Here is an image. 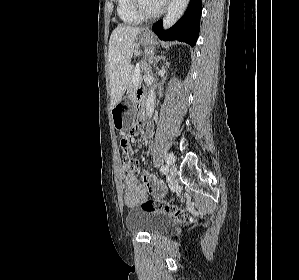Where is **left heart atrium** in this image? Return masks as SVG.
<instances>
[{"mask_svg": "<svg viewBox=\"0 0 299 280\" xmlns=\"http://www.w3.org/2000/svg\"><path fill=\"white\" fill-rule=\"evenodd\" d=\"M162 2H166V0H161Z\"/></svg>", "mask_w": 299, "mask_h": 280, "instance_id": "left-heart-atrium-1", "label": "left heart atrium"}]
</instances>
